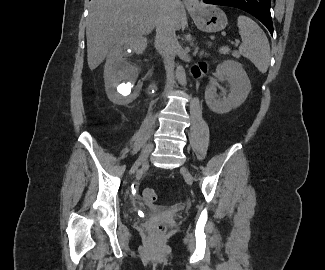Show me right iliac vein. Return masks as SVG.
Returning a JSON list of instances; mask_svg holds the SVG:
<instances>
[{
  "instance_id": "1",
  "label": "right iliac vein",
  "mask_w": 325,
  "mask_h": 270,
  "mask_svg": "<svg viewBox=\"0 0 325 270\" xmlns=\"http://www.w3.org/2000/svg\"><path fill=\"white\" fill-rule=\"evenodd\" d=\"M152 149H153V143L149 142L141 152L136 163L131 168V173H134L137 170V168L147 159Z\"/></svg>"
}]
</instances>
